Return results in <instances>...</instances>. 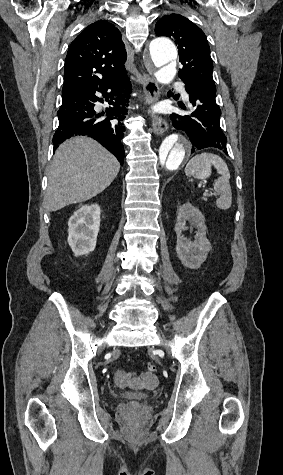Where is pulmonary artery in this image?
I'll return each instance as SVG.
<instances>
[{"mask_svg": "<svg viewBox=\"0 0 283 475\" xmlns=\"http://www.w3.org/2000/svg\"><path fill=\"white\" fill-rule=\"evenodd\" d=\"M179 94L180 95H184L185 99L188 100V96L186 95V89L185 88H182V87H179Z\"/></svg>", "mask_w": 283, "mask_h": 475, "instance_id": "pulmonary-artery-1", "label": "pulmonary artery"}]
</instances>
